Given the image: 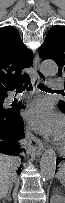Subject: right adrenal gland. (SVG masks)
I'll return each instance as SVG.
<instances>
[{
	"instance_id": "2a0ac1e0",
	"label": "right adrenal gland",
	"mask_w": 65,
	"mask_h": 203,
	"mask_svg": "<svg viewBox=\"0 0 65 203\" xmlns=\"http://www.w3.org/2000/svg\"><path fill=\"white\" fill-rule=\"evenodd\" d=\"M11 189L8 193V195L5 197V199L2 200L3 203H5L6 201L11 202Z\"/></svg>"
}]
</instances>
